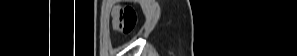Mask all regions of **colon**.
I'll use <instances>...</instances> for the list:
<instances>
[{
	"label": "colon",
	"mask_w": 297,
	"mask_h": 56,
	"mask_svg": "<svg viewBox=\"0 0 297 56\" xmlns=\"http://www.w3.org/2000/svg\"><path fill=\"white\" fill-rule=\"evenodd\" d=\"M137 21L135 10L131 6H125L117 11L116 30L129 34L133 31Z\"/></svg>",
	"instance_id": "5ec220e1"
}]
</instances>
